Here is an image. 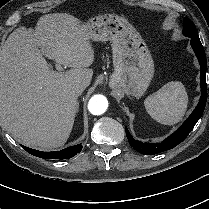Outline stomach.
<instances>
[{"mask_svg": "<svg viewBox=\"0 0 209 209\" xmlns=\"http://www.w3.org/2000/svg\"><path fill=\"white\" fill-rule=\"evenodd\" d=\"M88 40L111 41L114 73L109 85L135 97L147 90L154 62L139 32L122 16L102 14L82 25Z\"/></svg>", "mask_w": 209, "mask_h": 209, "instance_id": "1", "label": "stomach"}]
</instances>
